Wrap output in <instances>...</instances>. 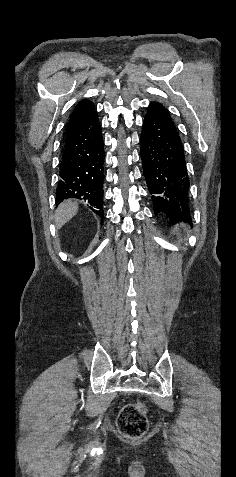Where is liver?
<instances>
[{"mask_svg": "<svg viewBox=\"0 0 236 477\" xmlns=\"http://www.w3.org/2000/svg\"><path fill=\"white\" fill-rule=\"evenodd\" d=\"M78 211V204L72 202L71 200H66L62 202L55 213V224L56 227L59 229L65 223H67L70 219H72Z\"/></svg>", "mask_w": 236, "mask_h": 477, "instance_id": "liver-1", "label": "liver"}]
</instances>
